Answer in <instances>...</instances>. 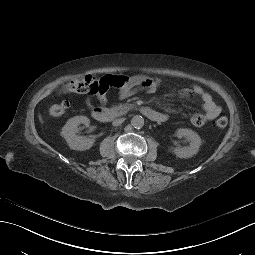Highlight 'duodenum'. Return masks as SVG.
Wrapping results in <instances>:
<instances>
[{
  "label": "duodenum",
  "mask_w": 255,
  "mask_h": 255,
  "mask_svg": "<svg viewBox=\"0 0 255 255\" xmlns=\"http://www.w3.org/2000/svg\"><path fill=\"white\" fill-rule=\"evenodd\" d=\"M139 111L148 119L154 122H165L167 116L149 107H140ZM125 112V109L94 107L92 108V116L99 122H110Z\"/></svg>",
  "instance_id": "1"
}]
</instances>
